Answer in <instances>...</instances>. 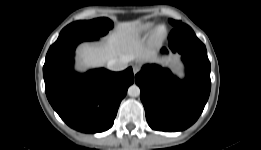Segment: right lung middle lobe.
<instances>
[{"label": "right lung middle lobe", "instance_id": "dd1d6c3e", "mask_svg": "<svg viewBox=\"0 0 261 150\" xmlns=\"http://www.w3.org/2000/svg\"><path fill=\"white\" fill-rule=\"evenodd\" d=\"M113 27L108 18H97L89 21H76L66 26L60 36L67 34H81L87 36H103Z\"/></svg>", "mask_w": 261, "mask_h": 150}]
</instances>
